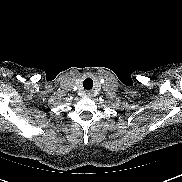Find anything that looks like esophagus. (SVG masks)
Segmentation results:
<instances>
[{
	"label": "esophagus",
	"mask_w": 182,
	"mask_h": 182,
	"mask_svg": "<svg viewBox=\"0 0 182 182\" xmlns=\"http://www.w3.org/2000/svg\"><path fill=\"white\" fill-rule=\"evenodd\" d=\"M91 94H92V92H91V91H87V92H86V95H87L88 97H90V96H91Z\"/></svg>",
	"instance_id": "esophagus-1"
}]
</instances>
